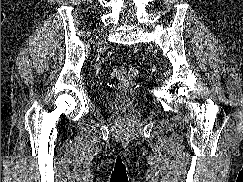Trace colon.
I'll use <instances>...</instances> for the list:
<instances>
[{
  "mask_svg": "<svg viewBox=\"0 0 243 182\" xmlns=\"http://www.w3.org/2000/svg\"><path fill=\"white\" fill-rule=\"evenodd\" d=\"M138 71L132 67L120 66L112 70V75L117 79L129 81L137 75Z\"/></svg>",
  "mask_w": 243,
  "mask_h": 182,
  "instance_id": "1",
  "label": "colon"
}]
</instances>
